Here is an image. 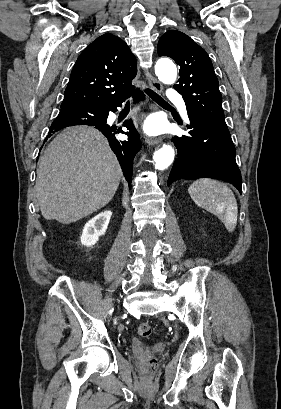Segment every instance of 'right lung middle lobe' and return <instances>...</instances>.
<instances>
[{
  "instance_id": "1",
  "label": "right lung middle lobe",
  "mask_w": 281,
  "mask_h": 409,
  "mask_svg": "<svg viewBox=\"0 0 281 409\" xmlns=\"http://www.w3.org/2000/svg\"><path fill=\"white\" fill-rule=\"evenodd\" d=\"M89 123V120L86 118H80V117H63V116H58L55 121L52 123V126L50 129H58V128H64L67 126H73V125H86Z\"/></svg>"
}]
</instances>
